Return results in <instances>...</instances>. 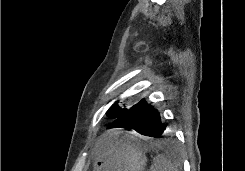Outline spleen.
I'll return each instance as SVG.
<instances>
[{"instance_id": "3e777b00", "label": "spleen", "mask_w": 245, "mask_h": 171, "mask_svg": "<svg viewBox=\"0 0 245 171\" xmlns=\"http://www.w3.org/2000/svg\"><path fill=\"white\" fill-rule=\"evenodd\" d=\"M150 171H178L176 166L165 155H157L153 159Z\"/></svg>"}]
</instances>
